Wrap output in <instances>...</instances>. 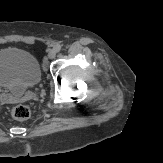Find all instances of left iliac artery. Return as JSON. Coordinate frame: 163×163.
Listing matches in <instances>:
<instances>
[{
  "instance_id": "44dca946",
  "label": "left iliac artery",
  "mask_w": 163,
  "mask_h": 163,
  "mask_svg": "<svg viewBox=\"0 0 163 163\" xmlns=\"http://www.w3.org/2000/svg\"><path fill=\"white\" fill-rule=\"evenodd\" d=\"M61 48L62 47H61L60 44H57V45L54 46V49H55L56 52H59L61 50Z\"/></svg>"
}]
</instances>
